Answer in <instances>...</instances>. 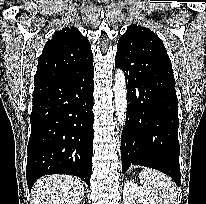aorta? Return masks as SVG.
Instances as JSON below:
<instances>
[{"label":"aorta","instance_id":"1","mask_svg":"<svg viewBox=\"0 0 206 204\" xmlns=\"http://www.w3.org/2000/svg\"><path fill=\"white\" fill-rule=\"evenodd\" d=\"M114 101L116 108V116L118 124L124 127L126 122V112H127V88L125 74L122 69H118L115 74L114 83Z\"/></svg>","mask_w":206,"mask_h":204}]
</instances>
